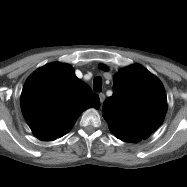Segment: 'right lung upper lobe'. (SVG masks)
Here are the masks:
<instances>
[{
  "label": "right lung upper lobe",
  "instance_id": "1",
  "mask_svg": "<svg viewBox=\"0 0 187 187\" xmlns=\"http://www.w3.org/2000/svg\"><path fill=\"white\" fill-rule=\"evenodd\" d=\"M20 102L32 132L44 141L66 134L83 111L100 106L98 95L76 77L74 69L58 62L28 77Z\"/></svg>",
  "mask_w": 187,
  "mask_h": 187
}]
</instances>
